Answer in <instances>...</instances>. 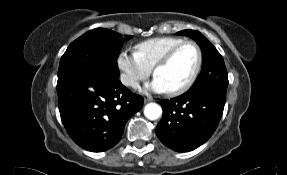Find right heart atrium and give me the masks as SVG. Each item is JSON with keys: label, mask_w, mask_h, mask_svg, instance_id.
I'll list each match as a JSON object with an SVG mask.
<instances>
[{"label": "right heart atrium", "mask_w": 287, "mask_h": 175, "mask_svg": "<svg viewBox=\"0 0 287 175\" xmlns=\"http://www.w3.org/2000/svg\"><path fill=\"white\" fill-rule=\"evenodd\" d=\"M117 66L121 72V82L131 88H136L141 81L150 76L152 71L136 52L128 50H123L119 53Z\"/></svg>", "instance_id": "1"}]
</instances>
